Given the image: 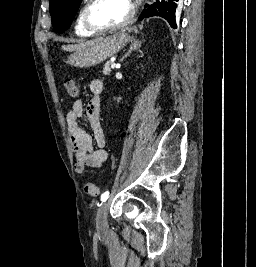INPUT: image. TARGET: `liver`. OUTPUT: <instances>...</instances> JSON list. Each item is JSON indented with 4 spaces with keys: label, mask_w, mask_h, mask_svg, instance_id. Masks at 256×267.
I'll return each instance as SVG.
<instances>
[{
    "label": "liver",
    "mask_w": 256,
    "mask_h": 267,
    "mask_svg": "<svg viewBox=\"0 0 256 267\" xmlns=\"http://www.w3.org/2000/svg\"><path fill=\"white\" fill-rule=\"evenodd\" d=\"M99 40H90V42H82V44H74V46H62V50H66V52H81L84 50L86 46H90V44H97Z\"/></svg>",
    "instance_id": "6515ba94"
}]
</instances>
